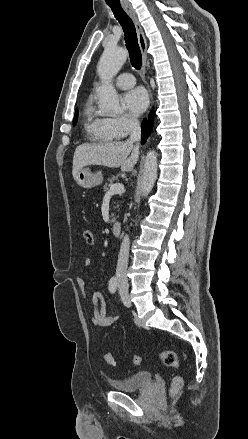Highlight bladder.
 I'll list each match as a JSON object with an SVG mask.
<instances>
[{"label":"bladder","mask_w":248,"mask_h":439,"mask_svg":"<svg viewBox=\"0 0 248 439\" xmlns=\"http://www.w3.org/2000/svg\"><path fill=\"white\" fill-rule=\"evenodd\" d=\"M152 374L149 371L133 373L125 378L112 380L111 386L121 392H134L152 385Z\"/></svg>","instance_id":"31cf9c89"}]
</instances>
